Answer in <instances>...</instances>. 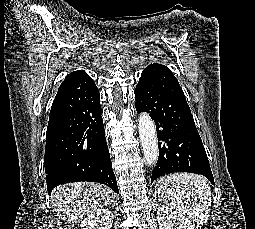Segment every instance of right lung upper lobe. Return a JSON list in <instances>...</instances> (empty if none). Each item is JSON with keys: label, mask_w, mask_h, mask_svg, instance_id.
I'll list each match as a JSON object with an SVG mask.
<instances>
[{"label": "right lung upper lobe", "mask_w": 255, "mask_h": 229, "mask_svg": "<svg viewBox=\"0 0 255 229\" xmlns=\"http://www.w3.org/2000/svg\"><path fill=\"white\" fill-rule=\"evenodd\" d=\"M72 73H75V72H72ZM72 73H71V74H72ZM71 74H69V75H71ZM69 75H68V76H69ZM68 76H67V77H68ZM67 77H66V78H67ZM59 90H60V87H59L58 91H59Z\"/></svg>", "instance_id": "obj_1"}]
</instances>
